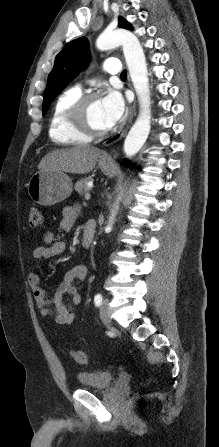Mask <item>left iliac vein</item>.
<instances>
[{
  "mask_svg": "<svg viewBox=\"0 0 219 447\" xmlns=\"http://www.w3.org/2000/svg\"><path fill=\"white\" fill-rule=\"evenodd\" d=\"M100 318L104 324L111 323L110 306L108 300H103L100 307Z\"/></svg>",
  "mask_w": 219,
  "mask_h": 447,
  "instance_id": "left-iliac-vein-1",
  "label": "left iliac vein"
}]
</instances>
